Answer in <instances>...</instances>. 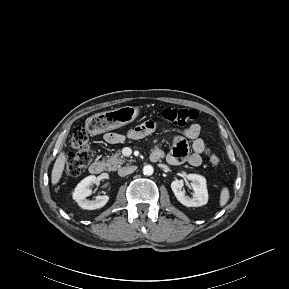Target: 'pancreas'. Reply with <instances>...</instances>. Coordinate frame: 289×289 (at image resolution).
<instances>
[{
	"mask_svg": "<svg viewBox=\"0 0 289 289\" xmlns=\"http://www.w3.org/2000/svg\"><path fill=\"white\" fill-rule=\"evenodd\" d=\"M125 160L126 158L123 155L120 153H115L111 156H107L103 161L109 171H115L121 167Z\"/></svg>",
	"mask_w": 289,
	"mask_h": 289,
	"instance_id": "obj_1",
	"label": "pancreas"
}]
</instances>
